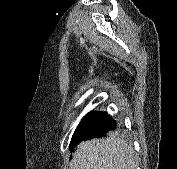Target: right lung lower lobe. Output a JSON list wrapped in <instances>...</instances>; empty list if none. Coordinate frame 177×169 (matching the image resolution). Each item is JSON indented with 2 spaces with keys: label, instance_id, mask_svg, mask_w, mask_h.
Wrapping results in <instances>:
<instances>
[{
  "label": "right lung lower lobe",
  "instance_id": "1",
  "mask_svg": "<svg viewBox=\"0 0 177 169\" xmlns=\"http://www.w3.org/2000/svg\"><path fill=\"white\" fill-rule=\"evenodd\" d=\"M116 122L105 112H90L78 125L70 142V150L81 141L91 138L102 137L108 131L115 130Z\"/></svg>",
  "mask_w": 177,
  "mask_h": 169
}]
</instances>
